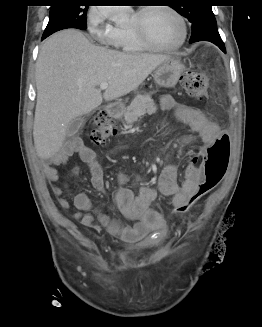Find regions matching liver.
Here are the masks:
<instances>
[{"mask_svg": "<svg viewBox=\"0 0 262 327\" xmlns=\"http://www.w3.org/2000/svg\"><path fill=\"white\" fill-rule=\"evenodd\" d=\"M160 54H128L92 44L67 29L50 36L36 62L37 103L33 126L36 152L53 157L62 147L69 123L101 105L127 95L159 65ZM109 84L103 95L97 87Z\"/></svg>", "mask_w": 262, "mask_h": 327, "instance_id": "6515ba94", "label": "liver"}]
</instances>
